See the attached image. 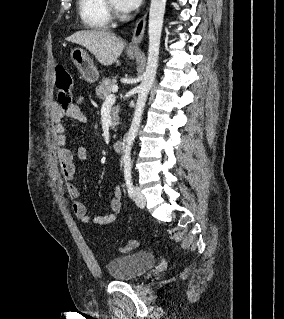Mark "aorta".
<instances>
[{
    "mask_svg": "<svg viewBox=\"0 0 284 319\" xmlns=\"http://www.w3.org/2000/svg\"><path fill=\"white\" fill-rule=\"evenodd\" d=\"M165 6L166 0H151L148 25L149 44L147 64L143 73V80L138 88V98L131 126L125 141L126 144L123 151L124 160L130 159L131 148L138 134L147 97L156 77Z\"/></svg>",
    "mask_w": 284,
    "mask_h": 319,
    "instance_id": "aorta-1",
    "label": "aorta"
}]
</instances>
